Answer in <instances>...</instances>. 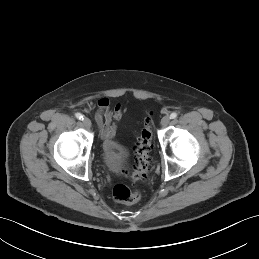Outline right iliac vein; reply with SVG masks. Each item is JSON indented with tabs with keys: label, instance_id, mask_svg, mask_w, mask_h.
<instances>
[{
	"label": "right iliac vein",
	"instance_id": "right-iliac-vein-1",
	"mask_svg": "<svg viewBox=\"0 0 259 259\" xmlns=\"http://www.w3.org/2000/svg\"><path fill=\"white\" fill-rule=\"evenodd\" d=\"M83 124H84V126H85L86 128H90V127H91V121H90V119L85 117V118L83 119Z\"/></svg>",
	"mask_w": 259,
	"mask_h": 259
}]
</instances>
